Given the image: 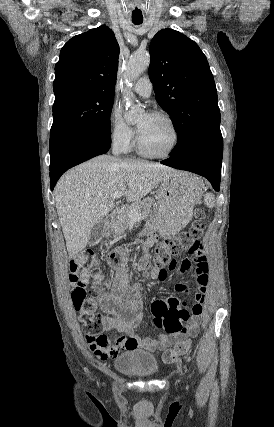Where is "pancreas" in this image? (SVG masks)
I'll list each match as a JSON object with an SVG mask.
<instances>
[{
  "label": "pancreas",
  "instance_id": "pancreas-1",
  "mask_svg": "<svg viewBox=\"0 0 274 427\" xmlns=\"http://www.w3.org/2000/svg\"><path fill=\"white\" fill-rule=\"evenodd\" d=\"M154 202L155 200H152V198H145V200H138V202H134L131 206L122 208L112 221L113 237L120 235V233H124L125 229H128L131 219L128 215L129 210H135V212H138L140 219H148L152 214V206ZM107 235H110V233H107Z\"/></svg>",
  "mask_w": 274,
  "mask_h": 427
}]
</instances>
